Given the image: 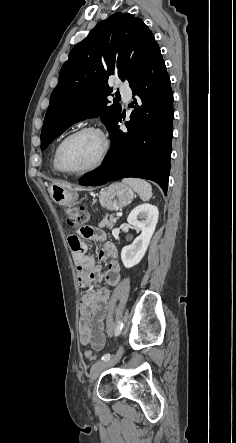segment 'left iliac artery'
<instances>
[{
	"mask_svg": "<svg viewBox=\"0 0 236 443\" xmlns=\"http://www.w3.org/2000/svg\"><path fill=\"white\" fill-rule=\"evenodd\" d=\"M123 328V322L120 321L115 329V336H118L121 333V330ZM111 355L110 354H105L104 356H102V360L107 361L110 360Z\"/></svg>",
	"mask_w": 236,
	"mask_h": 443,
	"instance_id": "left-iliac-artery-1",
	"label": "left iliac artery"
}]
</instances>
